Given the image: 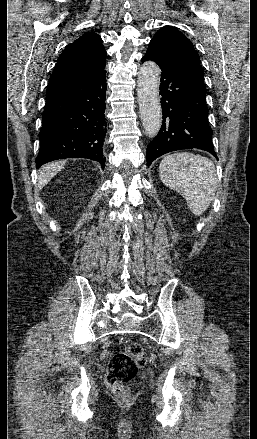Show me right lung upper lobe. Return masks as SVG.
<instances>
[{
  "instance_id": "right-lung-upper-lobe-1",
  "label": "right lung upper lobe",
  "mask_w": 257,
  "mask_h": 439,
  "mask_svg": "<svg viewBox=\"0 0 257 439\" xmlns=\"http://www.w3.org/2000/svg\"><path fill=\"white\" fill-rule=\"evenodd\" d=\"M105 57L100 36L94 32L84 33L59 56L47 94L97 76L104 71Z\"/></svg>"
}]
</instances>
